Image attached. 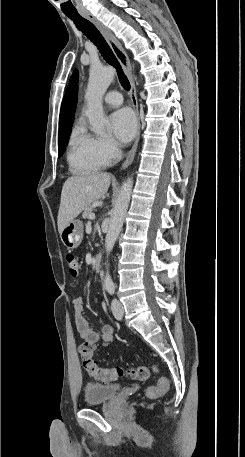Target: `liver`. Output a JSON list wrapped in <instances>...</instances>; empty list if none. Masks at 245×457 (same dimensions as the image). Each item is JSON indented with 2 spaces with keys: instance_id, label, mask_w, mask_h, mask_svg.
Returning <instances> with one entry per match:
<instances>
[{
  "instance_id": "liver-1",
  "label": "liver",
  "mask_w": 245,
  "mask_h": 457,
  "mask_svg": "<svg viewBox=\"0 0 245 457\" xmlns=\"http://www.w3.org/2000/svg\"><path fill=\"white\" fill-rule=\"evenodd\" d=\"M108 172H91L80 176H69L61 192L58 210V231L62 233L68 222L74 220L90 202L101 198L109 188Z\"/></svg>"
}]
</instances>
